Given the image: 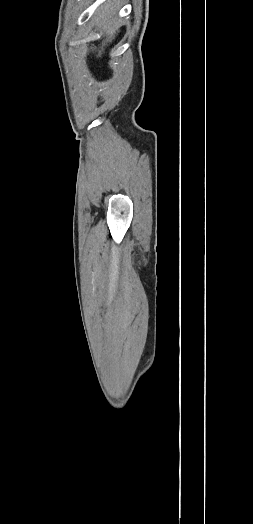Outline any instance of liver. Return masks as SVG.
Instances as JSON below:
<instances>
[{
  "label": "liver",
  "mask_w": 253,
  "mask_h": 524,
  "mask_svg": "<svg viewBox=\"0 0 253 524\" xmlns=\"http://www.w3.org/2000/svg\"><path fill=\"white\" fill-rule=\"evenodd\" d=\"M118 5L119 1L117 0L108 1L101 7V15L99 18H96L98 27L106 32V40L102 43L103 46H105V43L111 42L118 31L119 24L118 21L115 20ZM100 54L101 51H99V56Z\"/></svg>",
  "instance_id": "obj_1"
}]
</instances>
